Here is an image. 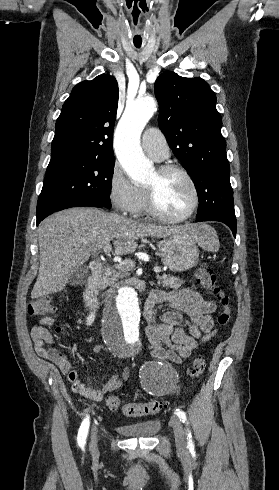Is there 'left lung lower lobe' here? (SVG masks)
I'll return each instance as SVG.
<instances>
[{
    "mask_svg": "<svg viewBox=\"0 0 279 490\" xmlns=\"http://www.w3.org/2000/svg\"><path fill=\"white\" fill-rule=\"evenodd\" d=\"M201 221H219V222H223L228 227H230V229L232 230V233H233L234 237L236 236V224H237L236 219L235 220H232V219L221 217V216H217V215H212V216H208V217H205V218L196 219V222H201Z\"/></svg>",
    "mask_w": 279,
    "mask_h": 490,
    "instance_id": "0a47b994",
    "label": "left lung lower lobe"
}]
</instances>
